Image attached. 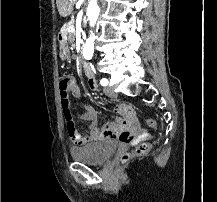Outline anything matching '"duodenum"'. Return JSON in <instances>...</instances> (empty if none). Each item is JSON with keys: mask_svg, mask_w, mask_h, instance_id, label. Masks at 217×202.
Here are the masks:
<instances>
[{"mask_svg": "<svg viewBox=\"0 0 217 202\" xmlns=\"http://www.w3.org/2000/svg\"><path fill=\"white\" fill-rule=\"evenodd\" d=\"M83 71L88 80L94 79V71L89 64H84Z\"/></svg>", "mask_w": 217, "mask_h": 202, "instance_id": "410a0bca", "label": "duodenum"}]
</instances>
